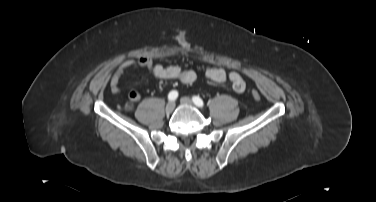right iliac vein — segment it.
Here are the masks:
<instances>
[{
  "label": "right iliac vein",
  "instance_id": "63e3f726",
  "mask_svg": "<svg viewBox=\"0 0 376 202\" xmlns=\"http://www.w3.org/2000/svg\"><path fill=\"white\" fill-rule=\"evenodd\" d=\"M174 108H175V103L172 102V101L168 102L167 105H166V108H165V112L167 114H171L173 112Z\"/></svg>",
  "mask_w": 376,
  "mask_h": 202
}]
</instances>
